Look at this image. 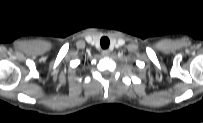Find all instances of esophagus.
<instances>
[{
    "instance_id": "1",
    "label": "esophagus",
    "mask_w": 203,
    "mask_h": 123,
    "mask_svg": "<svg viewBox=\"0 0 203 123\" xmlns=\"http://www.w3.org/2000/svg\"><path fill=\"white\" fill-rule=\"evenodd\" d=\"M101 54L104 57H108L110 55V51L109 50H103Z\"/></svg>"
}]
</instances>
